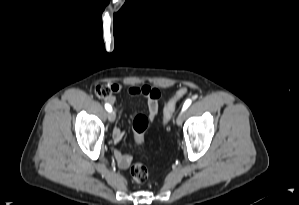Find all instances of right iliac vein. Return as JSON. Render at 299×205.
<instances>
[{"mask_svg": "<svg viewBox=\"0 0 299 205\" xmlns=\"http://www.w3.org/2000/svg\"><path fill=\"white\" fill-rule=\"evenodd\" d=\"M108 119H109L110 122H114V121H115V119H116V114H115L114 111H110V112L108 113Z\"/></svg>", "mask_w": 299, "mask_h": 205, "instance_id": "1", "label": "right iliac vein"}]
</instances>
